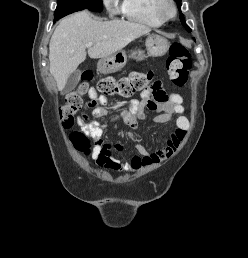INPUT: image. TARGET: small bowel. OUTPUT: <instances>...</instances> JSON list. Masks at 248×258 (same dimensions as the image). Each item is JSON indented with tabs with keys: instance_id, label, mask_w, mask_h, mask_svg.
Here are the masks:
<instances>
[{
	"instance_id": "obj_1",
	"label": "small bowel",
	"mask_w": 248,
	"mask_h": 258,
	"mask_svg": "<svg viewBox=\"0 0 248 258\" xmlns=\"http://www.w3.org/2000/svg\"><path fill=\"white\" fill-rule=\"evenodd\" d=\"M88 97L89 100L85 105V110L91 109L95 118H101L108 114V110L105 107L107 105V99L99 95L95 88L89 89ZM145 108L159 112L154 118V122L156 123H168L176 115V127L171 132L165 146L154 152L148 151L142 144L137 143L135 145L137 155L133 156L128 162H122L115 158L110 146L102 142L103 126L96 121H89V116L85 110L81 113L78 119V125L95 140L96 144L93 149V157L100 166L113 170L138 171L144 167L168 160L179 149L189 127L188 120L183 114L182 97L175 93L167 98L165 96L162 98L155 96V100H153L151 99L150 92L144 91L141 100L131 102L129 111L124 115L125 123L131 127H136L137 122L144 117ZM116 120L117 118H113V121ZM114 147L116 150H120L121 145L115 144Z\"/></svg>"
}]
</instances>
